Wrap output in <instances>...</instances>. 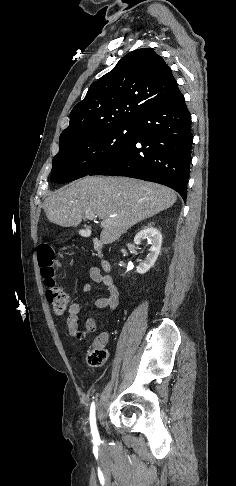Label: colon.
I'll return each instance as SVG.
<instances>
[{
  "instance_id": "colon-1",
  "label": "colon",
  "mask_w": 236,
  "mask_h": 486,
  "mask_svg": "<svg viewBox=\"0 0 236 486\" xmlns=\"http://www.w3.org/2000/svg\"><path fill=\"white\" fill-rule=\"evenodd\" d=\"M38 263L47 286V299L56 313L64 312L71 303L69 294L55 281V267L57 257L53 248L49 245H41L37 251ZM108 352L103 346H94L87 350V362L94 366H101L107 359Z\"/></svg>"
}]
</instances>
